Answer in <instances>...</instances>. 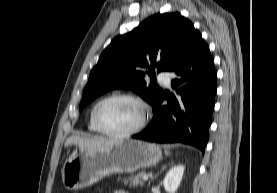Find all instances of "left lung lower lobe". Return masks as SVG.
Wrapping results in <instances>:
<instances>
[{"label":"left lung lower lobe","mask_w":277,"mask_h":193,"mask_svg":"<svg viewBox=\"0 0 277 193\" xmlns=\"http://www.w3.org/2000/svg\"><path fill=\"white\" fill-rule=\"evenodd\" d=\"M175 94L163 95L153 106L155 114L146 130L132 137L150 142H183L205 150L214 109L217 73L202 36L193 40L186 56L172 70Z\"/></svg>","instance_id":"0a47b994"}]
</instances>
